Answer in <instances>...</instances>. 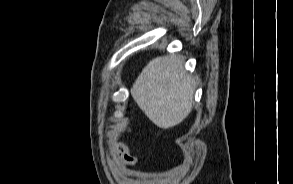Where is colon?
I'll list each match as a JSON object with an SVG mask.
<instances>
[{
	"label": "colon",
	"mask_w": 293,
	"mask_h": 184,
	"mask_svg": "<svg viewBox=\"0 0 293 184\" xmlns=\"http://www.w3.org/2000/svg\"><path fill=\"white\" fill-rule=\"evenodd\" d=\"M119 154L128 163L134 162V157L131 155L130 151L126 146H121L119 148Z\"/></svg>",
	"instance_id": "1"
}]
</instances>
